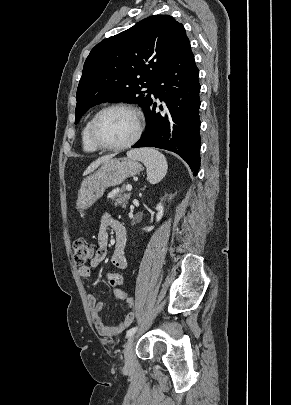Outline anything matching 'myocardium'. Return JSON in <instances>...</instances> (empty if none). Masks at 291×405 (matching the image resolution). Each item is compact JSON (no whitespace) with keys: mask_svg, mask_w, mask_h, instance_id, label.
<instances>
[{"mask_svg":"<svg viewBox=\"0 0 291 405\" xmlns=\"http://www.w3.org/2000/svg\"><path fill=\"white\" fill-rule=\"evenodd\" d=\"M126 110L131 112L136 119V131L134 135L132 136L131 139H129L127 142L119 144V145H108L104 144L101 142L96 135V125L99 120V118L107 111L110 110ZM144 130V117L142 112L135 106L126 104V103H114L107 105L100 109L91 119L90 124H89V139L91 143L100 150H106V151H121L130 148L133 146L141 137L142 133Z\"/></svg>","mask_w":291,"mask_h":405,"instance_id":"1","label":"myocardium"}]
</instances>
